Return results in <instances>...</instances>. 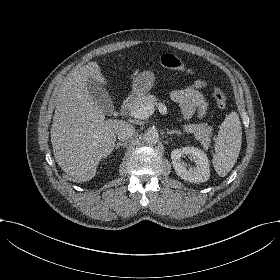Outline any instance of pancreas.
Masks as SVG:
<instances>
[{
	"label": "pancreas",
	"instance_id": "1",
	"mask_svg": "<svg viewBox=\"0 0 280 280\" xmlns=\"http://www.w3.org/2000/svg\"><path fill=\"white\" fill-rule=\"evenodd\" d=\"M158 99L151 94L143 95L138 97L131 103V109H139L145 107L147 104H156ZM183 129L187 133H192L195 136V139L200 141L201 145L205 150H208L211 142V135L213 128L208 126L207 123H200V124H189L184 125Z\"/></svg>",
	"mask_w": 280,
	"mask_h": 280
}]
</instances>
